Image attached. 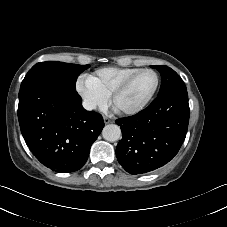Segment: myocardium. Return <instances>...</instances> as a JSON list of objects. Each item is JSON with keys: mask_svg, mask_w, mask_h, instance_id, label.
<instances>
[{"mask_svg": "<svg viewBox=\"0 0 227 227\" xmlns=\"http://www.w3.org/2000/svg\"><path fill=\"white\" fill-rule=\"evenodd\" d=\"M146 72L153 73L154 76H155V79H156L155 85H154L152 91L150 92V94L148 95V97L139 106H137L135 108H132V109H120V108H118L117 105H116L117 98L130 87L131 83L133 82V80L136 77H138L140 74L146 73ZM159 85H160V77L155 70L150 69V68L141 69V70L137 71L136 73L132 74L131 76H129L126 80H124L120 85H118L115 88V90L111 94L112 103L123 114H126V115L138 114L141 111H143L150 104V102L154 98L155 94L157 93Z\"/></svg>", "mask_w": 227, "mask_h": 227, "instance_id": "myocardium-1", "label": "myocardium"}]
</instances>
